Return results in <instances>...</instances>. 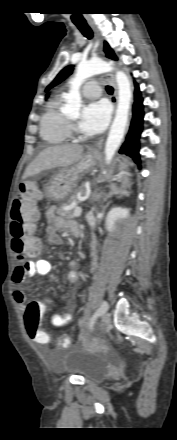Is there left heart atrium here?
Here are the masks:
<instances>
[{"mask_svg": "<svg viewBox=\"0 0 177 440\" xmlns=\"http://www.w3.org/2000/svg\"><path fill=\"white\" fill-rule=\"evenodd\" d=\"M109 119L110 108L106 102H91L82 111L79 128L88 134H98L106 128Z\"/></svg>", "mask_w": 177, "mask_h": 440, "instance_id": "1", "label": "left heart atrium"}]
</instances>
